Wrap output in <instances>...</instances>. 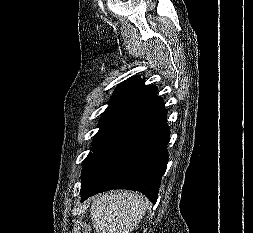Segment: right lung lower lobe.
Instances as JSON below:
<instances>
[{
	"label": "right lung lower lobe",
	"mask_w": 253,
	"mask_h": 233,
	"mask_svg": "<svg viewBox=\"0 0 253 233\" xmlns=\"http://www.w3.org/2000/svg\"><path fill=\"white\" fill-rule=\"evenodd\" d=\"M169 128L156 92L135 105L85 160L81 201L110 189L136 190L155 203L168 162Z\"/></svg>",
	"instance_id": "obj_1"
}]
</instances>
